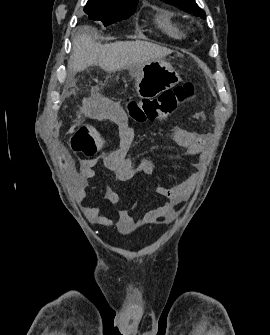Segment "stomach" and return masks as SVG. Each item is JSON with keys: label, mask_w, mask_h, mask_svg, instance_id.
I'll use <instances>...</instances> for the list:
<instances>
[{"label": "stomach", "mask_w": 270, "mask_h": 335, "mask_svg": "<svg viewBox=\"0 0 270 335\" xmlns=\"http://www.w3.org/2000/svg\"><path fill=\"white\" fill-rule=\"evenodd\" d=\"M135 76L136 92L139 98H146V100L156 98L164 88H172L180 82L179 74L164 60L143 64Z\"/></svg>", "instance_id": "obj_1"}]
</instances>
